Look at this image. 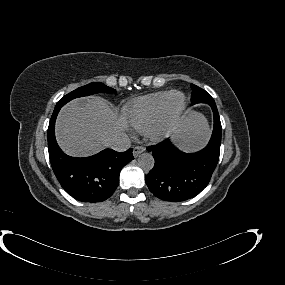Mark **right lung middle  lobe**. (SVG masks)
Listing matches in <instances>:
<instances>
[{"instance_id":"obj_1","label":"right lung middle lobe","mask_w":285,"mask_h":285,"mask_svg":"<svg viewBox=\"0 0 285 285\" xmlns=\"http://www.w3.org/2000/svg\"><path fill=\"white\" fill-rule=\"evenodd\" d=\"M99 92L113 93L115 92V90L100 82L90 83L80 88H77L76 90L62 97L56 104V107H62L63 105H65L67 102H69L70 100L74 98L88 96V95L99 93Z\"/></svg>"}]
</instances>
